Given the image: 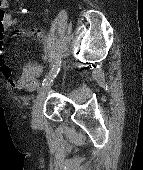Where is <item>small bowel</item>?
I'll use <instances>...</instances> for the list:
<instances>
[{
    "mask_svg": "<svg viewBox=\"0 0 143 170\" xmlns=\"http://www.w3.org/2000/svg\"><path fill=\"white\" fill-rule=\"evenodd\" d=\"M18 24H20V19L15 18L10 14H5L0 17V70L4 78L14 89L20 91H32L38 86L39 78L43 72V65L37 62H28L24 65L19 78L15 79L12 69L3 57L2 44L7 38V30ZM15 35L38 37L41 35V31L34 28L20 29Z\"/></svg>",
    "mask_w": 143,
    "mask_h": 170,
    "instance_id": "1",
    "label": "small bowel"
}]
</instances>
